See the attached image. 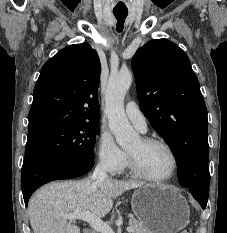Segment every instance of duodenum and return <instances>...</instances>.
Returning a JSON list of instances; mask_svg holds the SVG:
<instances>
[{"instance_id":"1","label":"duodenum","mask_w":227,"mask_h":233,"mask_svg":"<svg viewBox=\"0 0 227 233\" xmlns=\"http://www.w3.org/2000/svg\"><path fill=\"white\" fill-rule=\"evenodd\" d=\"M84 233H91V232H89V231H85Z\"/></svg>"}]
</instances>
